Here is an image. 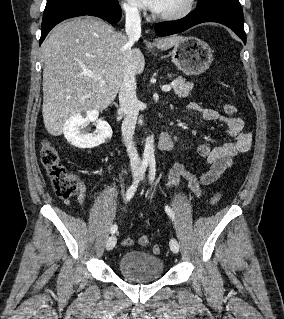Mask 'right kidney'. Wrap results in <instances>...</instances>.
Here are the masks:
<instances>
[{
  "label": "right kidney",
  "instance_id": "1",
  "mask_svg": "<svg viewBox=\"0 0 284 319\" xmlns=\"http://www.w3.org/2000/svg\"><path fill=\"white\" fill-rule=\"evenodd\" d=\"M97 110H88L85 114L77 113L70 117L63 128L65 138L75 147L94 148L103 144L107 139L112 137L111 126L103 120L98 119ZM94 122L96 130L93 133H87L81 129Z\"/></svg>",
  "mask_w": 284,
  "mask_h": 319
}]
</instances>
